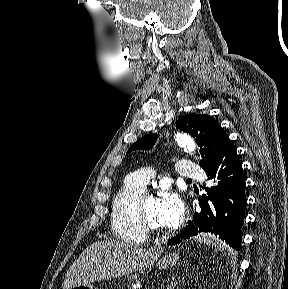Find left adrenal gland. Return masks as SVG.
Segmentation results:
<instances>
[{
	"instance_id": "obj_1",
	"label": "left adrenal gland",
	"mask_w": 288,
	"mask_h": 289,
	"mask_svg": "<svg viewBox=\"0 0 288 289\" xmlns=\"http://www.w3.org/2000/svg\"><path fill=\"white\" fill-rule=\"evenodd\" d=\"M176 275H173L171 278V281L168 283L167 288L166 289H174L177 282H176Z\"/></svg>"
}]
</instances>
